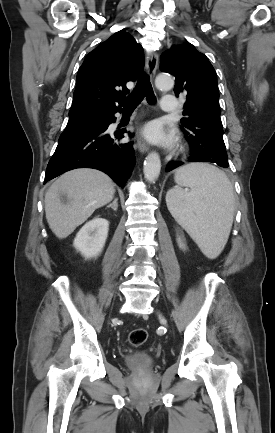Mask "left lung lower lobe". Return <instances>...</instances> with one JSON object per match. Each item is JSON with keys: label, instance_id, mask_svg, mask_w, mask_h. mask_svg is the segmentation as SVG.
I'll return each instance as SVG.
<instances>
[{"label": "left lung lower lobe", "instance_id": "1", "mask_svg": "<svg viewBox=\"0 0 275 433\" xmlns=\"http://www.w3.org/2000/svg\"><path fill=\"white\" fill-rule=\"evenodd\" d=\"M190 161L191 162H195V161H193L192 159H190ZM183 163L182 162H171V163H169V165L167 166V171H170V170H172V169H174V168H176V167H178V166H180V165H182ZM228 166L227 165H225V168H227Z\"/></svg>", "mask_w": 275, "mask_h": 433}]
</instances>
